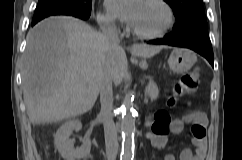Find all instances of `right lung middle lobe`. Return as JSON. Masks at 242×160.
Listing matches in <instances>:
<instances>
[{"label":"right lung middle lobe","mask_w":242,"mask_h":160,"mask_svg":"<svg viewBox=\"0 0 242 160\" xmlns=\"http://www.w3.org/2000/svg\"><path fill=\"white\" fill-rule=\"evenodd\" d=\"M91 6L92 0H38L32 21L50 15H71L85 19L90 17Z\"/></svg>","instance_id":"dd1d6c3e"}]
</instances>
